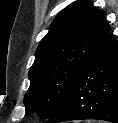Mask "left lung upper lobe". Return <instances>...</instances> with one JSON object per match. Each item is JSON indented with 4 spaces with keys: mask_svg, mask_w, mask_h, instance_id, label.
I'll use <instances>...</instances> for the list:
<instances>
[{
    "mask_svg": "<svg viewBox=\"0 0 118 123\" xmlns=\"http://www.w3.org/2000/svg\"><path fill=\"white\" fill-rule=\"evenodd\" d=\"M105 12L89 0L75 1L54 19L29 71L26 113L53 120L90 57L109 33Z\"/></svg>",
    "mask_w": 118,
    "mask_h": 123,
    "instance_id": "5c2ea615",
    "label": "left lung upper lobe"
}]
</instances>
